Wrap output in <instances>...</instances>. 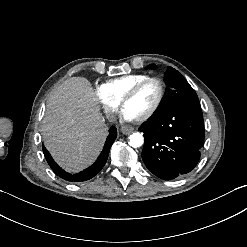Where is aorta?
Instances as JSON below:
<instances>
[{
    "mask_svg": "<svg viewBox=\"0 0 247 247\" xmlns=\"http://www.w3.org/2000/svg\"><path fill=\"white\" fill-rule=\"evenodd\" d=\"M129 145L133 148H138L144 143V137L141 133H133L129 136Z\"/></svg>",
    "mask_w": 247,
    "mask_h": 247,
    "instance_id": "obj_1",
    "label": "aorta"
}]
</instances>
